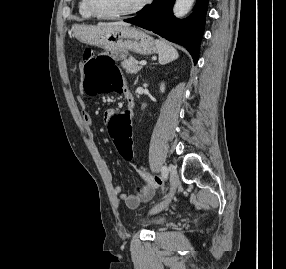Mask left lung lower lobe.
Here are the masks:
<instances>
[{"instance_id": "left-lung-lower-lobe-1", "label": "left lung lower lobe", "mask_w": 286, "mask_h": 269, "mask_svg": "<svg viewBox=\"0 0 286 269\" xmlns=\"http://www.w3.org/2000/svg\"><path fill=\"white\" fill-rule=\"evenodd\" d=\"M174 2L175 0H154L149 7L139 11V16L124 21L183 45L190 52L196 64L208 0H197L193 13L184 20L173 16Z\"/></svg>"}]
</instances>
